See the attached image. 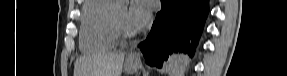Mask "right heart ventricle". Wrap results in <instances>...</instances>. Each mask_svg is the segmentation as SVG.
I'll return each instance as SVG.
<instances>
[{"label": "right heart ventricle", "instance_id": "e07e8e85", "mask_svg": "<svg viewBox=\"0 0 287 76\" xmlns=\"http://www.w3.org/2000/svg\"><path fill=\"white\" fill-rule=\"evenodd\" d=\"M111 10V0L85 1L80 25V48L82 51L99 52L116 46L119 37L111 26Z\"/></svg>", "mask_w": 287, "mask_h": 76}]
</instances>
